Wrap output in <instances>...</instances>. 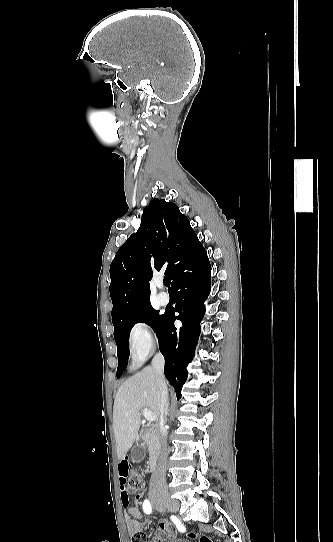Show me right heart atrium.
Here are the masks:
<instances>
[{"label": "right heart atrium", "mask_w": 333, "mask_h": 542, "mask_svg": "<svg viewBox=\"0 0 333 542\" xmlns=\"http://www.w3.org/2000/svg\"><path fill=\"white\" fill-rule=\"evenodd\" d=\"M156 344L155 333L145 322L137 323L131 331L132 348L143 356L150 355Z\"/></svg>", "instance_id": "right-heart-atrium-1"}]
</instances>
